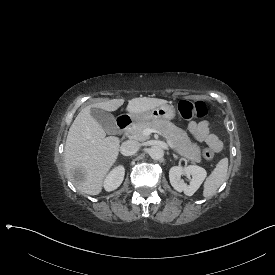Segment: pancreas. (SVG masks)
Returning a JSON list of instances; mask_svg holds the SVG:
<instances>
[{
    "instance_id": "1",
    "label": "pancreas",
    "mask_w": 275,
    "mask_h": 275,
    "mask_svg": "<svg viewBox=\"0 0 275 275\" xmlns=\"http://www.w3.org/2000/svg\"><path fill=\"white\" fill-rule=\"evenodd\" d=\"M146 128L157 129L164 133L172 142L175 151L181 156L198 163L202 161L200 147L190 141L184 130L167 120L136 123L130 126L126 133L134 139L144 141L147 137L142 134V131Z\"/></svg>"
}]
</instances>
